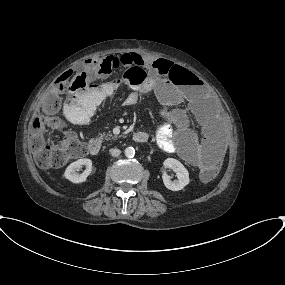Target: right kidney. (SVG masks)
<instances>
[{
    "label": "right kidney",
    "instance_id": "right-kidney-1",
    "mask_svg": "<svg viewBox=\"0 0 285 285\" xmlns=\"http://www.w3.org/2000/svg\"><path fill=\"white\" fill-rule=\"evenodd\" d=\"M82 165L86 167V170L83 173L78 174L77 171ZM91 171H92V161L87 158H82L71 163L66 168L64 176L72 183H82L87 180V177L90 175Z\"/></svg>",
    "mask_w": 285,
    "mask_h": 285
}]
</instances>
